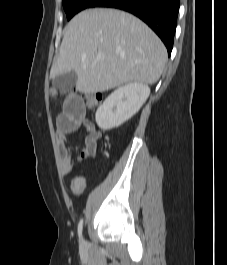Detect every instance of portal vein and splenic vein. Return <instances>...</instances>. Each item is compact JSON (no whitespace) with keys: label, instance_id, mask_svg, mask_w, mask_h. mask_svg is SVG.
I'll return each mask as SVG.
<instances>
[{"label":"portal vein and splenic vein","instance_id":"18ae733b","mask_svg":"<svg viewBox=\"0 0 227 265\" xmlns=\"http://www.w3.org/2000/svg\"><path fill=\"white\" fill-rule=\"evenodd\" d=\"M98 58H99V59H104V58H105V55H104V54H99V55H98Z\"/></svg>","mask_w":227,"mask_h":265}]
</instances>
